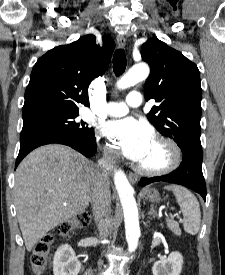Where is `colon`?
<instances>
[{
    "mask_svg": "<svg viewBox=\"0 0 225 275\" xmlns=\"http://www.w3.org/2000/svg\"><path fill=\"white\" fill-rule=\"evenodd\" d=\"M90 221V215L87 212H80L72 220L64 222L57 229L59 236H67L75 230L85 227ZM54 240L52 234L44 235L35 245L31 255L32 269L36 274H40L48 265L51 258V247Z\"/></svg>",
    "mask_w": 225,
    "mask_h": 275,
    "instance_id": "obj_1",
    "label": "colon"
}]
</instances>
